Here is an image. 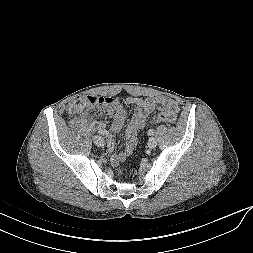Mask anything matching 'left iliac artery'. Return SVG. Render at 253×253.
I'll use <instances>...</instances> for the list:
<instances>
[{
  "label": "left iliac artery",
  "instance_id": "obj_1",
  "mask_svg": "<svg viewBox=\"0 0 253 253\" xmlns=\"http://www.w3.org/2000/svg\"><path fill=\"white\" fill-rule=\"evenodd\" d=\"M154 133H155L154 129H150V130L148 131V135H149V136L154 135Z\"/></svg>",
  "mask_w": 253,
  "mask_h": 253
}]
</instances>
